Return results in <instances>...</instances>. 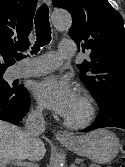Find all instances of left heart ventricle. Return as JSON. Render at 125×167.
Listing matches in <instances>:
<instances>
[{
	"label": "left heart ventricle",
	"mask_w": 125,
	"mask_h": 167,
	"mask_svg": "<svg viewBox=\"0 0 125 167\" xmlns=\"http://www.w3.org/2000/svg\"><path fill=\"white\" fill-rule=\"evenodd\" d=\"M85 115H86L85 105L81 100V98L78 96L74 106L72 107L66 118L77 121L84 118Z\"/></svg>",
	"instance_id": "left-heart-ventricle-1"
}]
</instances>
